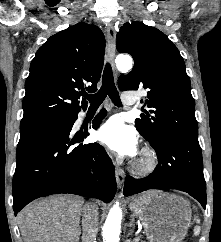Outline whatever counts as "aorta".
I'll return each mask as SVG.
<instances>
[{
    "instance_id": "762f6f07",
    "label": "aorta",
    "mask_w": 221,
    "mask_h": 242,
    "mask_svg": "<svg viewBox=\"0 0 221 242\" xmlns=\"http://www.w3.org/2000/svg\"><path fill=\"white\" fill-rule=\"evenodd\" d=\"M132 58L130 56H118L116 58L117 69L122 73H127L132 68ZM122 210L117 202L110 209L107 219L102 228L104 242H119L121 229Z\"/></svg>"
}]
</instances>
